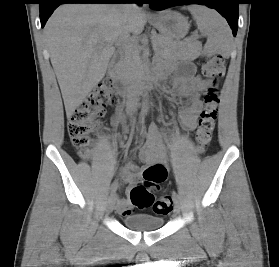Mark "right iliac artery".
Listing matches in <instances>:
<instances>
[{
    "mask_svg": "<svg viewBox=\"0 0 279 267\" xmlns=\"http://www.w3.org/2000/svg\"><path fill=\"white\" fill-rule=\"evenodd\" d=\"M143 123H144V115L142 114V115H140V117H139V124L141 125V124H143ZM137 129H138V128H137ZM116 189H117V182L114 181V182L112 183L111 187H110V193H111V195L115 194Z\"/></svg>",
    "mask_w": 279,
    "mask_h": 267,
    "instance_id": "right-iliac-artery-1",
    "label": "right iliac artery"
}]
</instances>
